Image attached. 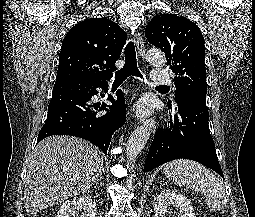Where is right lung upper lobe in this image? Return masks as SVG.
<instances>
[{
    "mask_svg": "<svg viewBox=\"0 0 255 217\" xmlns=\"http://www.w3.org/2000/svg\"><path fill=\"white\" fill-rule=\"evenodd\" d=\"M125 40L126 33L109 19L89 18L76 24L63 39L55 84L107 82Z\"/></svg>",
    "mask_w": 255,
    "mask_h": 217,
    "instance_id": "right-lung-upper-lobe-1",
    "label": "right lung upper lobe"
}]
</instances>
